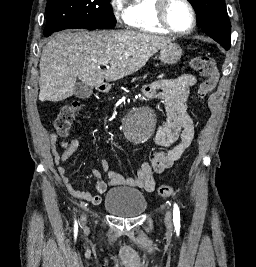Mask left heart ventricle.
<instances>
[{"label":"left heart ventricle","instance_id":"b2bd125f","mask_svg":"<svg viewBox=\"0 0 256 267\" xmlns=\"http://www.w3.org/2000/svg\"><path fill=\"white\" fill-rule=\"evenodd\" d=\"M167 18L170 25L179 32H185L191 28V13L189 9L179 1L173 0L168 4Z\"/></svg>","mask_w":256,"mask_h":267}]
</instances>
